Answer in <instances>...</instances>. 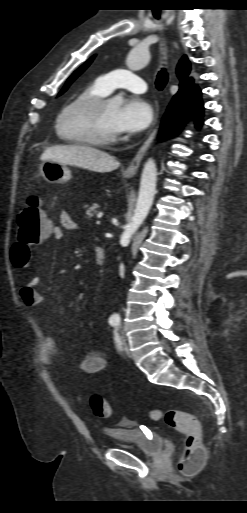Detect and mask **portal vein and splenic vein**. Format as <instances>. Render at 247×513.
<instances>
[{"mask_svg":"<svg viewBox=\"0 0 247 513\" xmlns=\"http://www.w3.org/2000/svg\"><path fill=\"white\" fill-rule=\"evenodd\" d=\"M96 223H97V224H100V221H99V220H97V221H96Z\"/></svg>","mask_w":247,"mask_h":513,"instance_id":"18ae733b","label":"portal vein and splenic vein"}]
</instances>
